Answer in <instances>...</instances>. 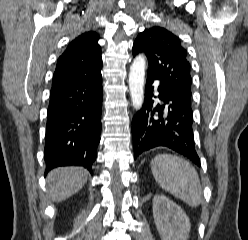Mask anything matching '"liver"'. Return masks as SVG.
I'll use <instances>...</instances> for the list:
<instances>
[{
  "label": "liver",
  "instance_id": "1",
  "mask_svg": "<svg viewBox=\"0 0 248 240\" xmlns=\"http://www.w3.org/2000/svg\"><path fill=\"white\" fill-rule=\"evenodd\" d=\"M88 172L80 167H61L47 177L48 192L53 201L60 202L74 195L85 185Z\"/></svg>",
  "mask_w": 248,
  "mask_h": 240
}]
</instances>
